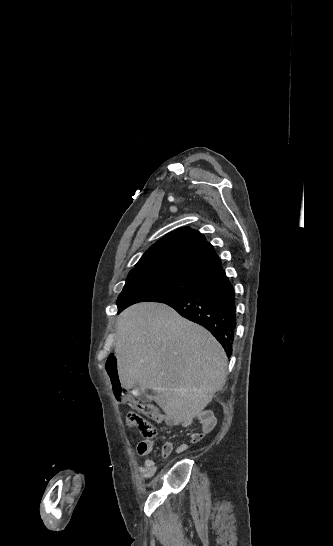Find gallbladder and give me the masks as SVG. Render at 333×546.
<instances>
[{
  "label": "gallbladder",
  "instance_id": "gallbladder-1",
  "mask_svg": "<svg viewBox=\"0 0 333 546\" xmlns=\"http://www.w3.org/2000/svg\"><path fill=\"white\" fill-rule=\"evenodd\" d=\"M135 387H137V386H135ZM147 400H149V401H150V400H151V398H147Z\"/></svg>",
  "mask_w": 333,
  "mask_h": 546
}]
</instances>
